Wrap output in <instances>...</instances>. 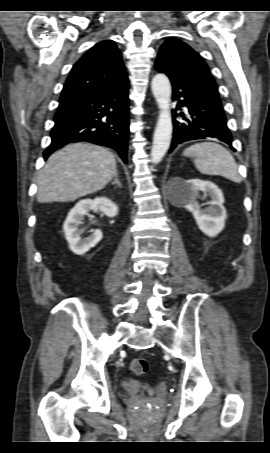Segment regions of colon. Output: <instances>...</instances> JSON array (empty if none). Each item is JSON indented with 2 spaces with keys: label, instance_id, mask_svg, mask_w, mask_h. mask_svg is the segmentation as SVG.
<instances>
[{
  "label": "colon",
  "instance_id": "obj_1",
  "mask_svg": "<svg viewBox=\"0 0 270 453\" xmlns=\"http://www.w3.org/2000/svg\"><path fill=\"white\" fill-rule=\"evenodd\" d=\"M131 369L137 375L145 374L149 369V364L145 358H135L131 362Z\"/></svg>",
  "mask_w": 270,
  "mask_h": 453
}]
</instances>
